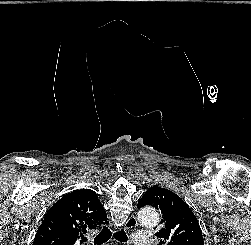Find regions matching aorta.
<instances>
[{
	"mask_svg": "<svg viewBox=\"0 0 251 245\" xmlns=\"http://www.w3.org/2000/svg\"><path fill=\"white\" fill-rule=\"evenodd\" d=\"M139 220L143 226L153 227L159 222V214L155 208L145 207L139 211Z\"/></svg>",
	"mask_w": 251,
	"mask_h": 245,
	"instance_id": "1",
	"label": "aorta"
}]
</instances>
